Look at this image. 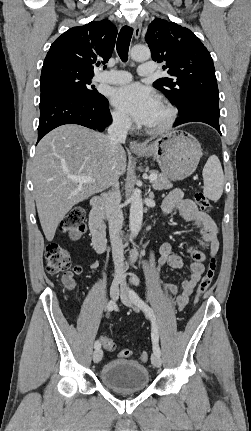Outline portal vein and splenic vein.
I'll list each match as a JSON object with an SVG mask.
<instances>
[{"instance_id": "1", "label": "portal vein and splenic vein", "mask_w": 251, "mask_h": 431, "mask_svg": "<svg viewBox=\"0 0 251 431\" xmlns=\"http://www.w3.org/2000/svg\"><path fill=\"white\" fill-rule=\"evenodd\" d=\"M69 179H71L74 182H78L80 184H89V183H93L94 179L90 176H70ZM157 179V175L156 174H151L149 176V180L152 182L154 180Z\"/></svg>"}]
</instances>
